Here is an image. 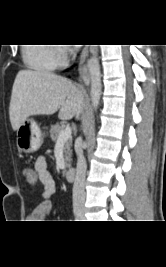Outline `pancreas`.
I'll use <instances>...</instances> for the list:
<instances>
[{"label": "pancreas", "mask_w": 166, "mask_h": 267, "mask_svg": "<svg viewBox=\"0 0 166 267\" xmlns=\"http://www.w3.org/2000/svg\"><path fill=\"white\" fill-rule=\"evenodd\" d=\"M64 129L65 127L59 124L52 125L50 128L51 139L54 142H56L60 132L63 131ZM64 156H65L66 167L69 168L71 166V156H72L71 142L69 140H67L64 144Z\"/></svg>", "instance_id": "cf45deb5"}]
</instances>
